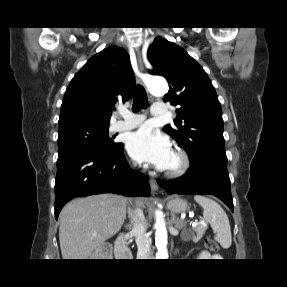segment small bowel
<instances>
[{
	"label": "small bowel",
	"mask_w": 287,
	"mask_h": 287,
	"mask_svg": "<svg viewBox=\"0 0 287 287\" xmlns=\"http://www.w3.org/2000/svg\"><path fill=\"white\" fill-rule=\"evenodd\" d=\"M199 257L202 259H208L210 257V254L206 251H202L200 252Z\"/></svg>",
	"instance_id": "obj_1"
}]
</instances>
